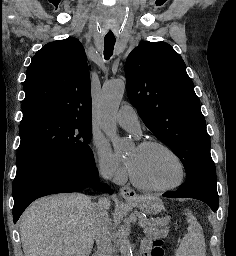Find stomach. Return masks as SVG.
<instances>
[{"mask_svg":"<svg viewBox=\"0 0 236 256\" xmlns=\"http://www.w3.org/2000/svg\"><path fill=\"white\" fill-rule=\"evenodd\" d=\"M134 204L147 214H158L163 209V202L156 197H141L138 201H135Z\"/></svg>","mask_w":236,"mask_h":256,"instance_id":"1","label":"stomach"}]
</instances>
